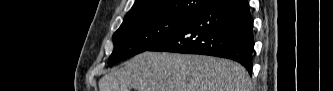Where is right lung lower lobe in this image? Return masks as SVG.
I'll use <instances>...</instances> for the list:
<instances>
[{
	"mask_svg": "<svg viewBox=\"0 0 333 91\" xmlns=\"http://www.w3.org/2000/svg\"><path fill=\"white\" fill-rule=\"evenodd\" d=\"M253 19L246 0H216L148 51L233 59L252 72Z\"/></svg>",
	"mask_w": 333,
	"mask_h": 91,
	"instance_id": "98d812e1",
	"label": "right lung lower lobe"
}]
</instances>
